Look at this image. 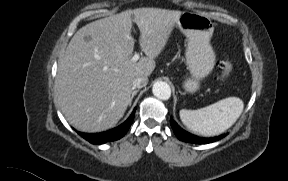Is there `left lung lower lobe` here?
Instances as JSON below:
<instances>
[{
    "instance_id": "obj_1",
    "label": "left lung lower lobe",
    "mask_w": 288,
    "mask_h": 181,
    "mask_svg": "<svg viewBox=\"0 0 288 181\" xmlns=\"http://www.w3.org/2000/svg\"><path fill=\"white\" fill-rule=\"evenodd\" d=\"M170 124L177 138L187 143L208 144V143L218 141L227 135V134H223V135H219L213 138H202V137H198V136H195L186 132L172 118L170 119Z\"/></svg>"
}]
</instances>
